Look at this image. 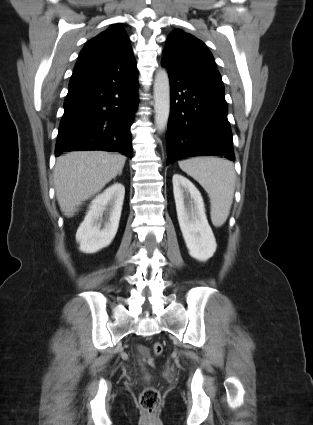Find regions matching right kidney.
<instances>
[{"instance_id": "right-kidney-1", "label": "right kidney", "mask_w": 313, "mask_h": 425, "mask_svg": "<svg viewBox=\"0 0 313 425\" xmlns=\"http://www.w3.org/2000/svg\"><path fill=\"white\" fill-rule=\"evenodd\" d=\"M124 195L125 187L115 183L92 200L76 233L80 251L96 253L111 244L118 230Z\"/></svg>"}]
</instances>
